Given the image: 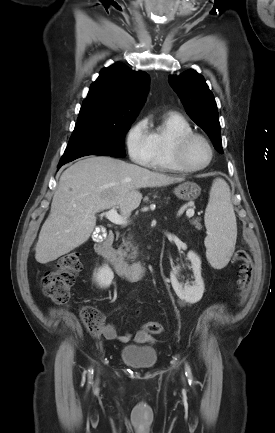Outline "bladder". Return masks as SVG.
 I'll return each mask as SVG.
<instances>
[{
  "label": "bladder",
  "instance_id": "bladder-1",
  "mask_svg": "<svg viewBox=\"0 0 275 433\" xmlns=\"http://www.w3.org/2000/svg\"><path fill=\"white\" fill-rule=\"evenodd\" d=\"M120 359L135 368H150L157 362V351L152 346L129 344L121 349Z\"/></svg>",
  "mask_w": 275,
  "mask_h": 433
}]
</instances>
